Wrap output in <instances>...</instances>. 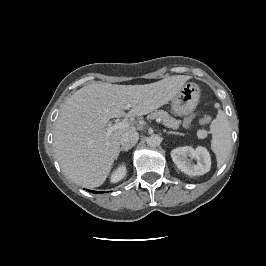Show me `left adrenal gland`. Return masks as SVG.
<instances>
[{
  "mask_svg": "<svg viewBox=\"0 0 266 266\" xmlns=\"http://www.w3.org/2000/svg\"><path fill=\"white\" fill-rule=\"evenodd\" d=\"M167 134H168V135H170V134H174V135H183L182 133H179V132H173V131H168Z\"/></svg>",
  "mask_w": 266,
  "mask_h": 266,
  "instance_id": "a2214340",
  "label": "left adrenal gland"
}]
</instances>
